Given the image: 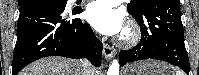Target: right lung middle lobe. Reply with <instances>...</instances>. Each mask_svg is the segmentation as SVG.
Here are the masks:
<instances>
[{
  "mask_svg": "<svg viewBox=\"0 0 199 75\" xmlns=\"http://www.w3.org/2000/svg\"><path fill=\"white\" fill-rule=\"evenodd\" d=\"M67 0H18L20 7L27 4H53L66 6Z\"/></svg>",
  "mask_w": 199,
  "mask_h": 75,
  "instance_id": "obj_1",
  "label": "right lung middle lobe"
}]
</instances>
